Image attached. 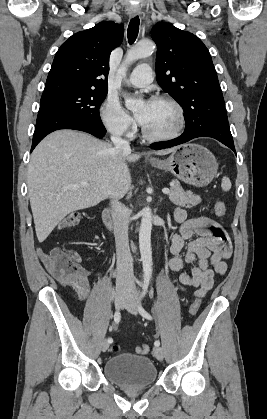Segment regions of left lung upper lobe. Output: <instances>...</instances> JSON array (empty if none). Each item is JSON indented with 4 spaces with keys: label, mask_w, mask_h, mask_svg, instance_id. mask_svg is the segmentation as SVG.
I'll return each mask as SVG.
<instances>
[{
    "label": "left lung upper lobe",
    "mask_w": 267,
    "mask_h": 419,
    "mask_svg": "<svg viewBox=\"0 0 267 419\" xmlns=\"http://www.w3.org/2000/svg\"><path fill=\"white\" fill-rule=\"evenodd\" d=\"M157 45V82L183 108L190 124L209 111L224 112V98L210 53L194 34L169 23L151 30Z\"/></svg>",
    "instance_id": "5c2ea615"
}]
</instances>
